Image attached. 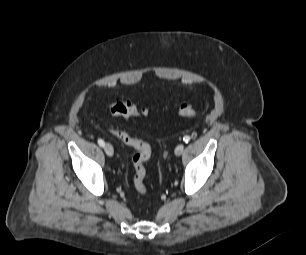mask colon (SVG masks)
Returning a JSON list of instances; mask_svg holds the SVG:
<instances>
[{
    "mask_svg": "<svg viewBox=\"0 0 306 255\" xmlns=\"http://www.w3.org/2000/svg\"><path fill=\"white\" fill-rule=\"evenodd\" d=\"M111 115L116 117L131 118V117H145L149 111L145 107H139L130 102L129 100H116L109 106ZM176 111L178 115L184 118H194L196 115L195 109L187 103H181L177 106ZM110 133L122 141L129 147L135 150L132 157V163L134 167L133 184L136 191L145 195L147 193V187L145 184V162L150 158L151 148L150 146L137 138L130 136L127 132L119 130L114 127H109Z\"/></svg>",
    "mask_w": 306,
    "mask_h": 255,
    "instance_id": "1",
    "label": "colon"
}]
</instances>
